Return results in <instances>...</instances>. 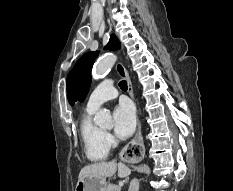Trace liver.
Masks as SVG:
<instances>
[{"mask_svg": "<svg viewBox=\"0 0 233 191\" xmlns=\"http://www.w3.org/2000/svg\"><path fill=\"white\" fill-rule=\"evenodd\" d=\"M118 169V176L120 178L127 177L131 174L130 168L124 163L98 162L83 167L79 173V180L85 177L107 178L113 176Z\"/></svg>", "mask_w": 233, "mask_h": 191, "instance_id": "1", "label": "liver"}]
</instances>
